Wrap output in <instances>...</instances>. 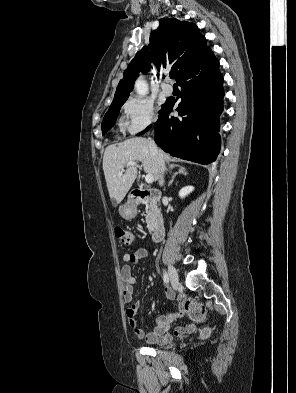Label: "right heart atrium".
Returning a JSON list of instances; mask_svg holds the SVG:
<instances>
[{"mask_svg": "<svg viewBox=\"0 0 296 393\" xmlns=\"http://www.w3.org/2000/svg\"><path fill=\"white\" fill-rule=\"evenodd\" d=\"M125 126L130 134H137L155 120L154 105L146 98L133 96L123 105Z\"/></svg>", "mask_w": 296, "mask_h": 393, "instance_id": "d8ad5b80", "label": "right heart atrium"}]
</instances>
